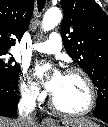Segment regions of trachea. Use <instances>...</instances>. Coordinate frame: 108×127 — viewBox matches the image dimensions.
Masks as SVG:
<instances>
[{"instance_id":"3493384b","label":"trachea","mask_w":108,"mask_h":127,"mask_svg":"<svg viewBox=\"0 0 108 127\" xmlns=\"http://www.w3.org/2000/svg\"><path fill=\"white\" fill-rule=\"evenodd\" d=\"M37 4H38V10L41 11L45 6V0H38Z\"/></svg>"}]
</instances>
